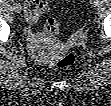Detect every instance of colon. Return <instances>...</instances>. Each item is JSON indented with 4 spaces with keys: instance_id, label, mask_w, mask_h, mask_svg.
I'll use <instances>...</instances> for the list:
<instances>
[{
    "instance_id": "1",
    "label": "colon",
    "mask_w": 111,
    "mask_h": 106,
    "mask_svg": "<svg viewBox=\"0 0 111 106\" xmlns=\"http://www.w3.org/2000/svg\"><path fill=\"white\" fill-rule=\"evenodd\" d=\"M60 30V23L54 19L49 18L45 21L42 27V33L46 35H53ZM75 55L70 51H64L55 59V66L58 68H67L74 64Z\"/></svg>"
}]
</instances>
